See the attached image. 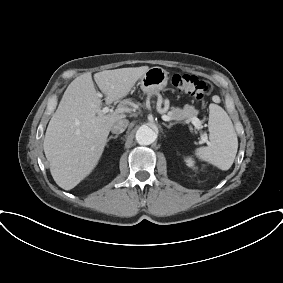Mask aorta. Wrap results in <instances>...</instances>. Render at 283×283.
<instances>
[{"label": "aorta", "instance_id": "obj_1", "mask_svg": "<svg viewBox=\"0 0 283 283\" xmlns=\"http://www.w3.org/2000/svg\"><path fill=\"white\" fill-rule=\"evenodd\" d=\"M135 137L140 145H150L156 140L157 134L147 125H142L136 131Z\"/></svg>", "mask_w": 283, "mask_h": 283}]
</instances>
